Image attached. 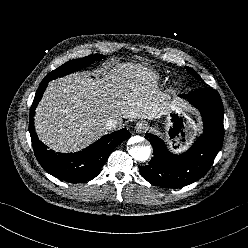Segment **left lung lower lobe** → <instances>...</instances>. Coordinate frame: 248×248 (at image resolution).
<instances>
[{"label": "left lung lower lobe", "instance_id": "0a47b994", "mask_svg": "<svg viewBox=\"0 0 248 248\" xmlns=\"http://www.w3.org/2000/svg\"><path fill=\"white\" fill-rule=\"evenodd\" d=\"M180 97L200 111L204 131L188 151L179 155L170 152L162 139L146 134L152 143L154 157L139 170L148 182L161 187H183L203 177L223 142V105L219 93L212 88H202Z\"/></svg>", "mask_w": 248, "mask_h": 248}]
</instances>
